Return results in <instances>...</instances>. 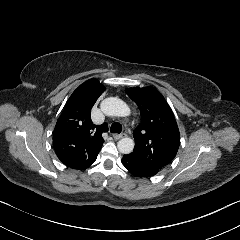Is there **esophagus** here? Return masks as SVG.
I'll use <instances>...</instances> for the list:
<instances>
[{"mask_svg":"<svg viewBox=\"0 0 240 240\" xmlns=\"http://www.w3.org/2000/svg\"><path fill=\"white\" fill-rule=\"evenodd\" d=\"M126 136V134H113V138L115 139V140H119V139H121V138H124Z\"/></svg>","mask_w":240,"mask_h":240,"instance_id":"1","label":"esophagus"}]
</instances>
